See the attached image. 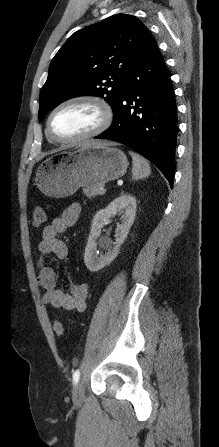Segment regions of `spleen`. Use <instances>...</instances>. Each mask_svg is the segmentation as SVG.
Returning <instances> with one entry per match:
<instances>
[{
    "mask_svg": "<svg viewBox=\"0 0 219 447\" xmlns=\"http://www.w3.org/2000/svg\"><path fill=\"white\" fill-rule=\"evenodd\" d=\"M132 157V179L139 180L147 177L150 173V165L146 159L138 155L137 153L130 152Z\"/></svg>",
    "mask_w": 219,
    "mask_h": 447,
    "instance_id": "1",
    "label": "spleen"
}]
</instances>
